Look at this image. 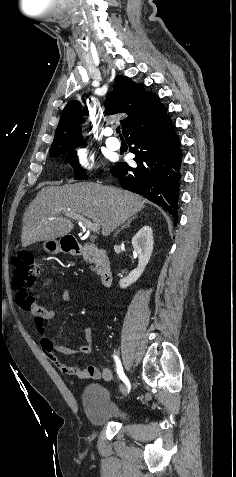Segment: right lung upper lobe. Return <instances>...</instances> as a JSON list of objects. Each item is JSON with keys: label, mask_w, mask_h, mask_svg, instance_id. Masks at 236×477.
<instances>
[{"label": "right lung upper lobe", "mask_w": 236, "mask_h": 477, "mask_svg": "<svg viewBox=\"0 0 236 477\" xmlns=\"http://www.w3.org/2000/svg\"><path fill=\"white\" fill-rule=\"evenodd\" d=\"M105 107L108 114H128L127 118L120 121L125 138L135 130L156 124L166 115V109L154 93L145 91L142 85L121 75L116 77L114 90L107 97ZM81 122L80 103L69 102L61 114L50 151L79 147L83 140Z\"/></svg>", "instance_id": "1"}]
</instances>
